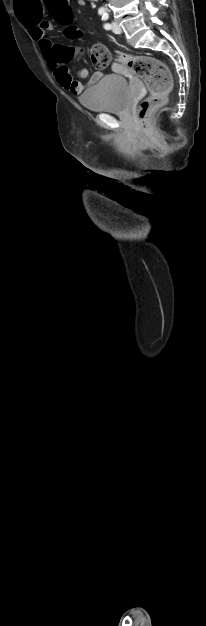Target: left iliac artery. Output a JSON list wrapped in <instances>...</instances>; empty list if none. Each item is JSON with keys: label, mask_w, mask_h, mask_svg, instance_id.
I'll list each match as a JSON object with an SVG mask.
<instances>
[{"label": "left iliac artery", "mask_w": 206, "mask_h": 626, "mask_svg": "<svg viewBox=\"0 0 206 626\" xmlns=\"http://www.w3.org/2000/svg\"><path fill=\"white\" fill-rule=\"evenodd\" d=\"M108 18H109L108 13H105V14L102 16V20H103V21L108 20ZM111 27H112V26H111V24H110V23H105V24H104V28H105L106 30H110V29H111Z\"/></svg>", "instance_id": "1"}]
</instances>
